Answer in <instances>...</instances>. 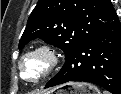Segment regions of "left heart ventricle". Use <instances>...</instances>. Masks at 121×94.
Segmentation results:
<instances>
[{"label": "left heart ventricle", "mask_w": 121, "mask_h": 94, "mask_svg": "<svg viewBox=\"0 0 121 94\" xmlns=\"http://www.w3.org/2000/svg\"><path fill=\"white\" fill-rule=\"evenodd\" d=\"M23 68L27 78L36 79L43 73L45 63L41 57H33L24 62Z\"/></svg>", "instance_id": "left-heart-ventricle-1"}]
</instances>
